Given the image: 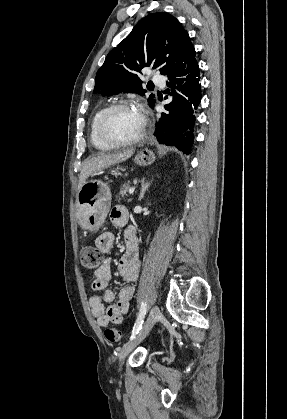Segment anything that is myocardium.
<instances>
[{
    "instance_id": "obj_1",
    "label": "myocardium",
    "mask_w": 287,
    "mask_h": 419,
    "mask_svg": "<svg viewBox=\"0 0 287 419\" xmlns=\"http://www.w3.org/2000/svg\"><path fill=\"white\" fill-rule=\"evenodd\" d=\"M125 108H132V105L128 101H119L116 102L110 106H108L99 117L98 123H97V134L99 138L107 145L113 146V147H120V146H127V145H133L141 140L146 135V120L143 119V126L139 134H137L135 137L131 139H117L112 136H110L106 130L107 122L110 118V116L117 110L125 109Z\"/></svg>"
}]
</instances>
